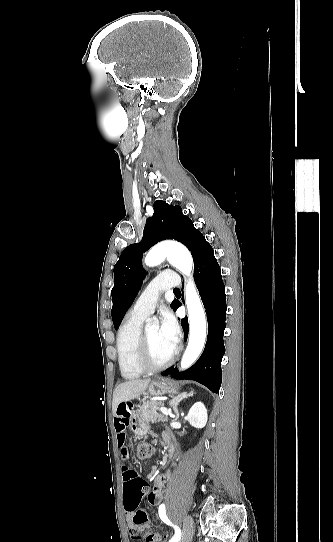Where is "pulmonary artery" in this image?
I'll list each match as a JSON object with an SVG mask.
<instances>
[{
  "label": "pulmonary artery",
  "mask_w": 333,
  "mask_h": 542,
  "mask_svg": "<svg viewBox=\"0 0 333 542\" xmlns=\"http://www.w3.org/2000/svg\"><path fill=\"white\" fill-rule=\"evenodd\" d=\"M181 281L173 273L172 268H167L156 279H150L144 287V292L139 295L134 305L130 309V314L135 317H147L153 313L158 304V299L163 291H170L173 288H179ZM157 291V292H155Z\"/></svg>",
  "instance_id": "obj_1"
}]
</instances>
